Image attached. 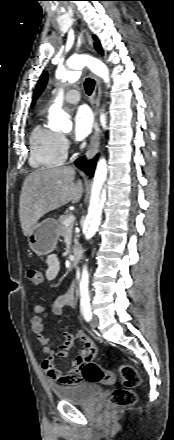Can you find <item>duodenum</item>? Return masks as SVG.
Wrapping results in <instances>:
<instances>
[{
	"label": "duodenum",
	"instance_id": "obj_1",
	"mask_svg": "<svg viewBox=\"0 0 174 440\" xmlns=\"http://www.w3.org/2000/svg\"><path fill=\"white\" fill-rule=\"evenodd\" d=\"M82 257H83L82 249L81 248L76 249L73 254L72 264L74 266H77L81 262Z\"/></svg>",
	"mask_w": 174,
	"mask_h": 440
}]
</instances>
